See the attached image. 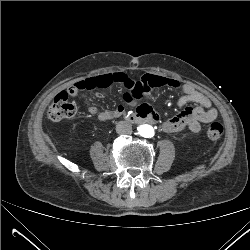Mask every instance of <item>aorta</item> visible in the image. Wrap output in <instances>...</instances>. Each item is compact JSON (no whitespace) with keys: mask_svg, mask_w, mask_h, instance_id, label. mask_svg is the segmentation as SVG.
<instances>
[{"mask_svg":"<svg viewBox=\"0 0 250 250\" xmlns=\"http://www.w3.org/2000/svg\"><path fill=\"white\" fill-rule=\"evenodd\" d=\"M138 133L145 138H152L155 135V129L148 124H142L138 127Z\"/></svg>","mask_w":250,"mask_h":250,"instance_id":"aorta-1","label":"aorta"}]
</instances>
